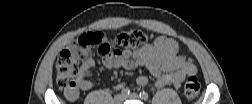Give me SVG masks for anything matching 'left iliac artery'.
<instances>
[{
    "label": "left iliac artery",
    "mask_w": 252,
    "mask_h": 104,
    "mask_svg": "<svg viewBox=\"0 0 252 104\" xmlns=\"http://www.w3.org/2000/svg\"><path fill=\"white\" fill-rule=\"evenodd\" d=\"M139 96L142 100H148L149 98L148 94L145 91L140 92Z\"/></svg>",
    "instance_id": "44dca946"
}]
</instances>
